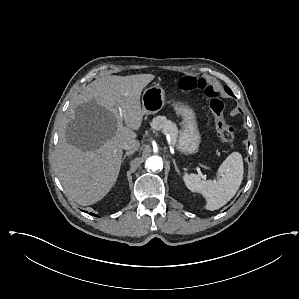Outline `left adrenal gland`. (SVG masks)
Here are the masks:
<instances>
[{"mask_svg":"<svg viewBox=\"0 0 299 299\" xmlns=\"http://www.w3.org/2000/svg\"><path fill=\"white\" fill-rule=\"evenodd\" d=\"M173 164H174V168H175L176 172L180 175V171H179L178 166L174 159H173Z\"/></svg>","mask_w":299,"mask_h":299,"instance_id":"left-adrenal-gland-1","label":"left adrenal gland"}]
</instances>
